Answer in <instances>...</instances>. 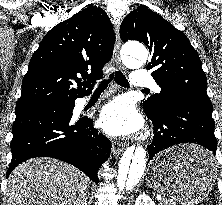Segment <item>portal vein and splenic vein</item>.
<instances>
[{
    "instance_id": "18ae733b",
    "label": "portal vein and splenic vein",
    "mask_w": 222,
    "mask_h": 205,
    "mask_svg": "<svg viewBox=\"0 0 222 205\" xmlns=\"http://www.w3.org/2000/svg\"><path fill=\"white\" fill-rule=\"evenodd\" d=\"M157 199L159 200V201H162V197L161 196H157Z\"/></svg>"
}]
</instances>
